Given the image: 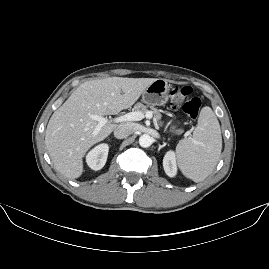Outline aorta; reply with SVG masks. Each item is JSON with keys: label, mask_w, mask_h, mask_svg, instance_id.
Wrapping results in <instances>:
<instances>
[{"label": "aorta", "mask_w": 269, "mask_h": 269, "mask_svg": "<svg viewBox=\"0 0 269 269\" xmlns=\"http://www.w3.org/2000/svg\"><path fill=\"white\" fill-rule=\"evenodd\" d=\"M139 145L142 148H148L152 145V139L149 135L144 134L139 138Z\"/></svg>", "instance_id": "aorta-1"}]
</instances>
